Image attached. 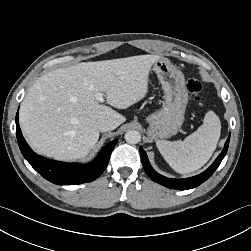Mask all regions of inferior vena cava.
I'll use <instances>...</instances> for the list:
<instances>
[{
    "label": "inferior vena cava",
    "mask_w": 251,
    "mask_h": 251,
    "mask_svg": "<svg viewBox=\"0 0 251 251\" xmlns=\"http://www.w3.org/2000/svg\"><path fill=\"white\" fill-rule=\"evenodd\" d=\"M97 126L101 132L110 131V130H113L116 128L114 123L110 120H107V119H99L97 121Z\"/></svg>",
    "instance_id": "obj_1"
}]
</instances>
